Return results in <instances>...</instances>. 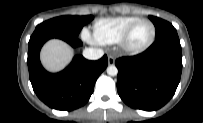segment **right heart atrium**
I'll return each mask as SVG.
<instances>
[{
	"label": "right heart atrium",
	"mask_w": 203,
	"mask_h": 123,
	"mask_svg": "<svg viewBox=\"0 0 203 123\" xmlns=\"http://www.w3.org/2000/svg\"><path fill=\"white\" fill-rule=\"evenodd\" d=\"M82 37L84 40L88 42H92V43L96 42L95 38H93L87 30H83Z\"/></svg>",
	"instance_id": "d8ad5b80"
}]
</instances>
